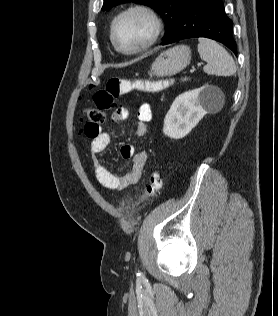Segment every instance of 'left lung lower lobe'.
<instances>
[{
    "label": "left lung lower lobe",
    "mask_w": 278,
    "mask_h": 316,
    "mask_svg": "<svg viewBox=\"0 0 278 316\" xmlns=\"http://www.w3.org/2000/svg\"><path fill=\"white\" fill-rule=\"evenodd\" d=\"M232 28L233 23L226 16L220 0H187L173 32L161 44L207 37L221 42L237 55Z\"/></svg>",
    "instance_id": "left-lung-lower-lobe-1"
}]
</instances>
